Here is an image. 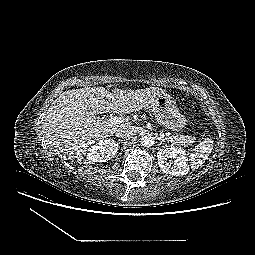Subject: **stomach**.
Masks as SVG:
<instances>
[{
    "mask_svg": "<svg viewBox=\"0 0 255 255\" xmlns=\"http://www.w3.org/2000/svg\"><path fill=\"white\" fill-rule=\"evenodd\" d=\"M150 108L157 121L167 129L178 131L186 125V117L166 91H161L157 95Z\"/></svg>",
    "mask_w": 255,
    "mask_h": 255,
    "instance_id": "obj_1",
    "label": "stomach"
}]
</instances>
